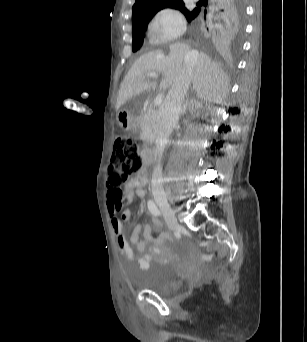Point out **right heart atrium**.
<instances>
[{
  "mask_svg": "<svg viewBox=\"0 0 307 342\" xmlns=\"http://www.w3.org/2000/svg\"><path fill=\"white\" fill-rule=\"evenodd\" d=\"M145 37L154 44H169L184 35L186 23L173 9L157 11L145 25Z\"/></svg>",
  "mask_w": 307,
  "mask_h": 342,
  "instance_id": "obj_1",
  "label": "right heart atrium"
}]
</instances>
